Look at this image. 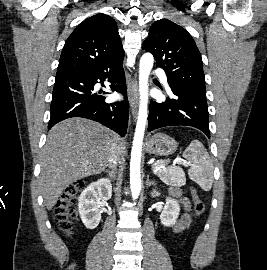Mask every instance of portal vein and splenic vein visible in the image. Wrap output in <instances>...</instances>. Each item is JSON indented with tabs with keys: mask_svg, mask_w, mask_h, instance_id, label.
I'll use <instances>...</instances> for the list:
<instances>
[{
	"mask_svg": "<svg viewBox=\"0 0 267 270\" xmlns=\"http://www.w3.org/2000/svg\"><path fill=\"white\" fill-rule=\"evenodd\" d=\"M174 163H178V164H184V165H188V162H186V161H184V160H182L181 158H176L175 160H174ZM150 164V163H149ZM158 169V168H157Z\"/></svg>",
	"mask_w": 267,
	"mask_h": 270,
	"instance_id": "18ae733b",
	"label": "portal vein and splenic vein"
}]
</instances>
